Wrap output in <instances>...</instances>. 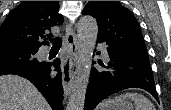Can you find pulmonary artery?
<instances>
[{
    "label": "pulmonary artery",
    "instance_id": "pulmonary-artery-1",
    "mask_svg": "<svg viewBox=\"0 0 171 110\" xmlns=\"http://www.w3.org/2000/svg\"><path fill=\"white\" fill-rule=\"evenodd\" d=\"M100 48H101V51H102L103 58L108 60L109 56H108V53L106 51V48L104 46H100Z\"/></svg>",
    "mask_w": 171,
    "mask_h": 110
}]
</instances>
